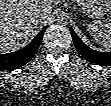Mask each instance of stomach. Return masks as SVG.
I'll return each mask as SVG.
<instances>
[{
	"mask_svg": "<svg viewBox=\"0 0 111 106\" xmlns=\"http://www.w3.org/2000/svg\"><path fill=\"white\" fill-rule=\"evenodd\" d=\"M77 5L85 15L98 18L111 9V0H81Z\"/></svg>",
	"mask_w": 111,
	"mask_h": 106,
	"instance_id": "0dacf381",
	"label": "stomach"
}]
</instances>
